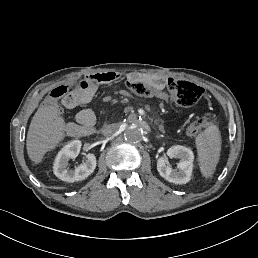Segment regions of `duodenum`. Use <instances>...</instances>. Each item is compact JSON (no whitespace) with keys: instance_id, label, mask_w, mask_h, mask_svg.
<instances>
[{"instance_id":"410a0bca","label":"duodenum","mask_w":258,"mask_h":258,"mask_svg":"<svg viewBox=\"0 0 258 258\" xmlns=\"http://www.w3.org/2000/svg\"><path fill=\"white\" fill-rule=\"evenodd\" d=\"M120 74L116 72H97L89 75L87 81L92 85L109 84L117 81Z\"/></svg>"}]
</instances>
